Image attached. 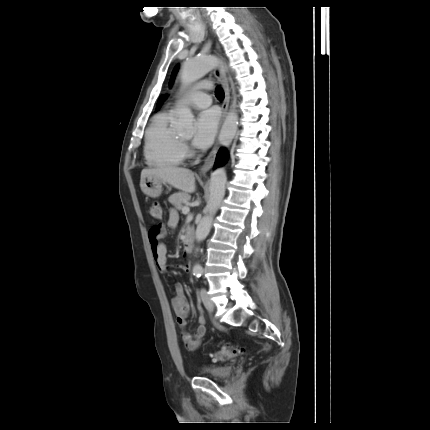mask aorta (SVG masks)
<instances>
[{
  "mask_svg": "<svg viewBox=\"0 0 430 430\" xmlns=\"http://www.w3.org/2000/svg\"><path fill=\"white\" fill-rule=\"evenodd\" d=\"M218 63L214 56L194 57L185 60L181 66V79L184 86H187L209 73ZM177 130L182 133H191L193 131L194 115L187 107H179L176 111ZM238 115L236 112H231L224 121L219 141L223 146H229L237 132ZM227 177L224 168H218L211 174L210 179V199L207 206V214L198 224L195 232V238L198 242L203 241L209 234L213 216L218 210V207L225 195V185ZM202 267L199 264L193 266L194 272L201 271Z\"/></svg>",
  "mask_w": 430,
  "mask_h": 430,
  "instance_id": "1",
  "label": "aorta"
}]
</instances>
